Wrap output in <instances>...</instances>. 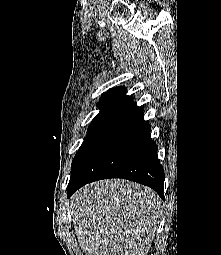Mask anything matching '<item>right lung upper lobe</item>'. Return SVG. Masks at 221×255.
<instances>
[{
	"mask_svg": "<svg viewBox=\"0 0 221 255\" xmlns=\"http://www.w3.org/2000/svg\"><path fill=\"white\" fill-rule=\"evenodd\" d=\"M132 99L126 95V88L119 86L110 89L100 99L98 107L103 109H120L130 103Z\"/></svg>",
	"mask_w": 221,
	"mask_h": 255,
	"instance_id": "right-lung-upper-lobe-1",
	"label": "right lung upper lobe"
}]
</instances>
